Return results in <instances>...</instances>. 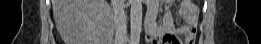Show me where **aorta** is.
Instances as JSON below:
<instances>
[{
    "mask_svg": "<svg viewBox=\"0 0 261 44\" xmlns=\"http://www.w3.org/2000/svg\"><path fill=\"white\" fill-rule=\"evenodd\" d=\"M130 3L131 40L139 42L142 28V0H130Z\"/></svg>",
    "mask_w": 261,
    "mask_h": 44,
    "instance_id": "1",
    "label": "aorta"
}]
</instances>
